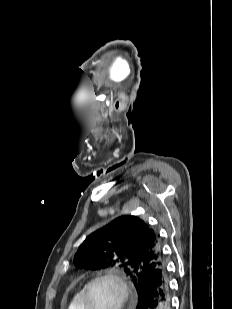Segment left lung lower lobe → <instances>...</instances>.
I'll return each mask as SVG.
<instances>
[{
	"label": "left lung lower lobe",
	"instance_id": "left-lung-lower-lobe-1",
	"mask_svg": "<svg viewBox=\"0 0 232 309\" xmlns=\"http://www.w3.org/2000/svg\"><path fill=\"white\" fill-rule=\"evenodd\" d=\"M136 309H171L169 277L165 263L149 274L138 296Z\"/></svg>",
	"mask_w": 232,
	"mask_h": 309
}]
</instances>
